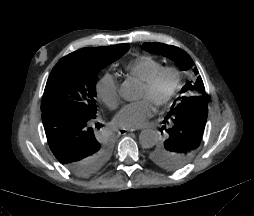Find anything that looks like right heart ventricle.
<instances>
[{
    "label": "right heart ventricle",
    "mask_w": 254,
    "mask_h": 216,
    "mask_svg": "<svg viewBox=\"0 0 254 216\" xmlns=\"http://www.w3.org/2000/svg\"><path fill=\"white\" fill-rule=\"evenodd\" d=\"M161 67V63L157 60L148 56H142L131 61L127 66V71L131 76L145 82Z\"/></svg>",
    "instance_id": "right-heart-ventricle-1"
}]
</instances>
